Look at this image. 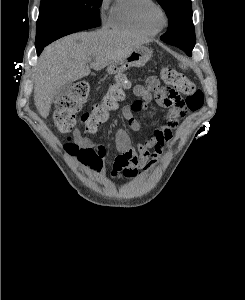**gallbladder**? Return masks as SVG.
<instances>
[{"label": "gallbladder", "mask_w": 245, "mask_h": 300, "mask_svg": "<svg viewBox=\"0 0 245 300\" xmlns=\"http://www.w3.org/2000/svg\"><path fill=\"white\" fill-rule=\"evenodd\" d=\"M71 90H72V84L71 83H67V84L61 86L57 90V92L55 93L54 102H58L61 99H63L65 96L70 95Z\"/></svg>", "instance_id": "bac80fb5"}]
</instances>
